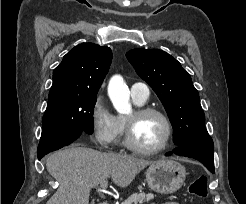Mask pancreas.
<instances>
[{"label": "pancreas", "instance_id": "obj_1", "mask_svg": "<svg viewBox=\"0 0 246 204\" xmlns=\"http://www.w3.org/2000/svg\"><path fill=\"white\" fill-rule=\"evenodd\" d=\"M155 195L152 193H134L124 200L121 204H143L151 199H154Z\"/></svg>", "mask_w": 246, "mask_h": 204}]
</instances>
